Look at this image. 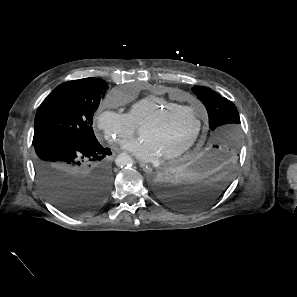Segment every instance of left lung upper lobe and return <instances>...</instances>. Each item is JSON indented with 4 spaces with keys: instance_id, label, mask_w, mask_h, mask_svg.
Returning a JSON list of instances; mask_svg holds the SVG:
<instances>
[{
    "instance_id": "left-lung-upper-lobe-1",
    "label": "left lung upper lobe",
    "mask_w": 297,
    "mask_h": 297,
    "mask_svg": "<svg viewBox=\"0 0 297 297\" xmlns=\"http://www.w3.org/2000/svg\"><path fill=\"white\" fill-rule=\"evenodd\" d=\"M192 90L208 112L211 149H218L236 157L241 140L240 117L236 106L207 87L194 86Z\"/></svg>"
}]
</instances>
